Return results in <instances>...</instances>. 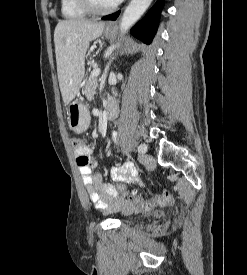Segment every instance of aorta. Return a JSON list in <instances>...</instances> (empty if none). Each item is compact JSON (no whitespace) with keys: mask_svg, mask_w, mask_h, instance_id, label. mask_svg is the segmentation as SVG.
Instances as JSON below:
<instances>
[{"mask_svg":"<svg viewBox=\"0 0 247 275\" xmlns=\"http://www.w3.org/2000/svg\"><path fill=\"white\" fill-rule=\"evenodd\" d=\"M152 0H131L120 22V32L124 35L144 14Z\"/></svg>","mask_w":247,"mask_h":275,"instance_id":"obj_1","label":"aorta"}]
</instances>
